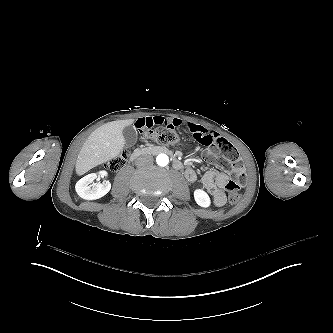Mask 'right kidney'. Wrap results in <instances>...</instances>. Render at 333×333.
Here are the masks:
<instances>
[{"label":"right kidney","instance_id":"right-kidney-1","mask_svg":"<svg viewBox=\"0 0 333 333\" xmlns=\"http://www.w3.org/2000/svg\"><path fill=\"white\" fill-rule=\"evenodd\" d=\"M98 176L105 177L107 176V172L100 171L98 174H88L76 183L75 190L81 198L85 200H96L103 197L110 191L111 184L109 181L105 180L103 183H93V181L97 179Z\"/></svg>","mask_w":333,"mask_h":333}]
</instances>
